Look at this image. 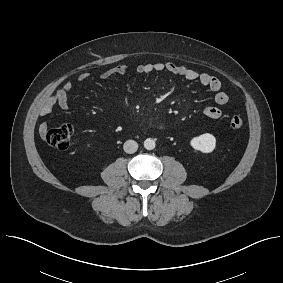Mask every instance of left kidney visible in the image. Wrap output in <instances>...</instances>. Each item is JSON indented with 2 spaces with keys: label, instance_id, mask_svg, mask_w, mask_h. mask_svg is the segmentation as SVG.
Returning a JSON list of instances; mask_svg holds the SVG:
<instances>
[{
  "label": "left kidney",
  "instance_id": "1",
  "mask_svg": "<svg viewBox=\"0 0 283 283\" xmlns=\"http://www.w3.org/2000/svg\"><path fill=\"white\" fill-rule=\"evenodd\" d=\"M190 145L202 153H211L216 147V138L210 133H205L192 138Z\"/></svg>",
  "mask_w": 283,
  "mask_h": 283
}]
</instances>
